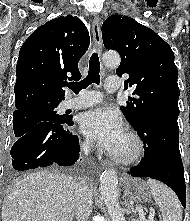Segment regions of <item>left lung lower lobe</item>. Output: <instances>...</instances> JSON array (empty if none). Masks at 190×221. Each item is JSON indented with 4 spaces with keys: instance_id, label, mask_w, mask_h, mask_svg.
I'll return each mask as SVG.
<instances>
[{
    "instance_id": "1",
    "label": "left lung lower lobe",
    "mask_w": 190,
    "mask_h": 221,
    "mask_svg": "<svg viewBox=\"0 0 190 221\" xmlns=\"http://www.w3.org/2000/svg\"><path fill=\"white\" fill-rule=\"evenodd\" d=\"M177 115L153 112L143 117L134 127L141 137L145 156L128 174L150 177L168 185L186 206L184 168L179 151Z\"/></svg>"
}]
</instances>
